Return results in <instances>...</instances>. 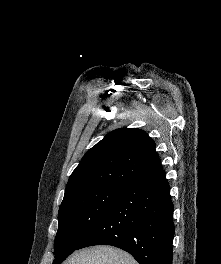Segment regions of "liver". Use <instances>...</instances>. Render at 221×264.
Returning <instances> with one entry per match:
<instances>
[{"label":"liver","instance_id":"1","mask_svg":"<svg viewBox=\"0 0 221 264\" xmlns=\"http://www.w3.org/2000/svg\"><path fill=\"white\" fill-rule=\"evenodd\" d=\"M63 264H138L127 252L110 247L97 246L76 252Z\"/></svg>","mask_w":221,"mask_h":264}]
</instances>
